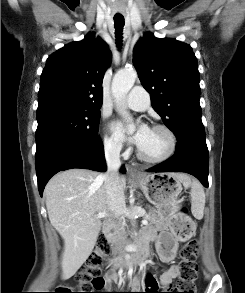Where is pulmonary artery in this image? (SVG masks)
<instances>
[{"instance_id": "pulmonary-artery-1", "label": "pulmonary artery", "mask_w": 245, "mask_h": 293, "mask_svg": "<svg viewBox=\"0 0 245 293\" xmlns=\"http://www.w3.org/2000/svg\"><path fill=\"white\" fill-rule=\"evenodd\" d=\"M124 105L136 111H143L150 105V95L145 88L136 86L127 95Z\"/></svg>"}]
</instances>
